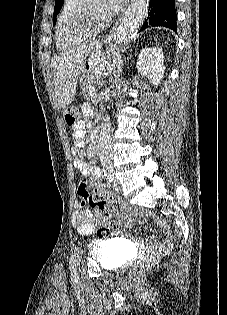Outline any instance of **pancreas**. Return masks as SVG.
Masks as SVG:
<instances>
[{"instance_id":"obj_1","label":"pancreas","mask_w":227,"mask_h":315,"mask_svg":"<svg viewBox=\"0 0 227 315\" xmlns=\"http://www.w3.org/2000/svg\"><path fill=\"white\" fill-rule=\"evenodd\" d=\"M83 95L85 97H91V90L95 89V81L92 75H88L84 77V81L82 82Z\"/></svg>"}]
</instances>
